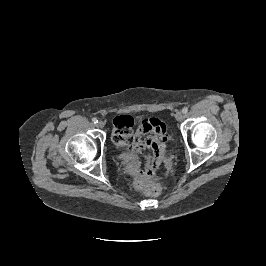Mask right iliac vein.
<instances>
[{"mask_svg": "<svg viewBox=\"0 0 266 266\" xmlns=\"http://www.w3.org/2000/svg\"><path fill=\"white\" fill-rule=\"evenodd\" d=\"M97 126H98L99 128H103V127L105 126V123H104L103 121H99V122L97 123Z\"/></svg>", "mask_w": 266, "mask_h": 266, "instance_id": "63e3f726", "label": "right iliac vein"}]
</instances>
